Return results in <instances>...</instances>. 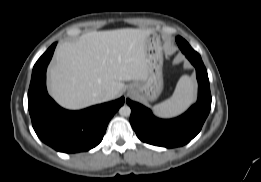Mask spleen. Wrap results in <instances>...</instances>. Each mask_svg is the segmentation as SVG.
<instances>
[{"instance_id": "3e777b00", "label": "spleen", "mask_w": 261, "mask_h": 182, "mask_svg": "<svg viewBox=\"0 0 261 182\" xmlns=\"http://www.w3.org/2000/svg\"><path fill=\"white\" fill-rule=\"evenodd\" d=\"M195 100V82L183 75L177 82L173 95L153 107L154 113L163 118L175 117L184 112Z\"/></svg>"}]
</instances>
